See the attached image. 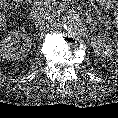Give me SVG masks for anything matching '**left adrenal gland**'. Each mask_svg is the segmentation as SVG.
<instances>
[{"mask_svg": "<svg viewBox=\"0 0 118 118\" xmlns=\"http://www.w3.org/2000/svg\"><path fill=\"white\" fill-rule=\"evenodd\" d=\"M89 23L92 25V28L95 29L94 23H92L91 21H89Z\"/></svg>", "mask_w": 118, "mask_h": 118, "instance_id": "obj_1", "label": "left adrenal gland"}]
</instances>
